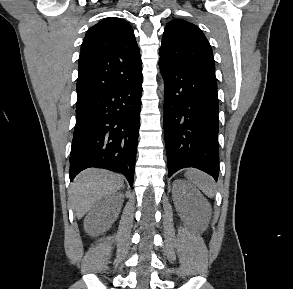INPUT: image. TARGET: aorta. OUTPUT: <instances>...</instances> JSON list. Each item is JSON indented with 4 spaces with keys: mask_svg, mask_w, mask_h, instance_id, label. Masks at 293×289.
Returning <instances> with one entry per match:
<instances>
[{
    "mask_svg": "<svg viewBox=\"0 0 293 289\" xmlns=\"http://www.w3.org/2000/svg\"><path fill=\"white\" fill-rule=\"evenodd\" d=\"M160 92L161 93L164 92V82H163V79H161Z\"/></svg>",
    "mask_w": 293,
    "mask_h": 289,
    "instance_id": "aorta-1",
    "label": "aorta"
}]
</instances>
